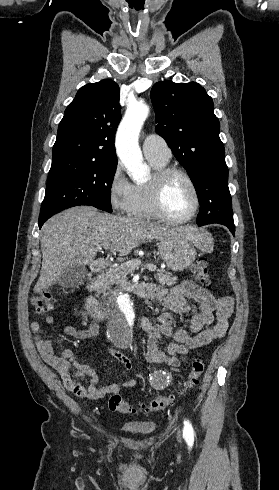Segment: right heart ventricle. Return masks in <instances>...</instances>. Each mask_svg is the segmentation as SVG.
Instances as JSON below:
<instances>
[{
    "instance_id": "1",
    "label": "right heart ventricle",
    "mask_w": 279,
    "mask_h": 490,
    "mask_svg": "<svg viewBox=\"0 0 279 490\" xmlns=\"http://www.w3.org/2000/svg\"><path fill=\"white\" fill-rule=\"evenodd\" d=\"M149 162L155 169L163 168L167 164V162L159 163L155 160H149ZM135 189L137 201L133 211L129 215L136 219H152L157 217L151 204V182L136 185Z\"/></svg>"
}]
</instances>
